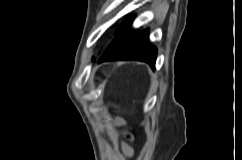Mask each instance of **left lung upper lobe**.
<instances>
[{
    "mask_svg": "<svg viewBox=\"0 0 242 160\" xmlns=\"http://www.w3.org/2000/svg\"><path fill=\"white\" fill-rule=\"evenodd\" d=\"M133 19H134V15L129 16V17H128V18L122 23L121 28H125V27L129 26V25L132 23ZM119 32H121V29H119V30L117 31V33H119Z\"/></svg>",
    "mask_w": 242,
    "mask_h": 160,
    "instance_id": "5c2ea615",
    "label": "left lung upper lobe"
}]
</instances>
